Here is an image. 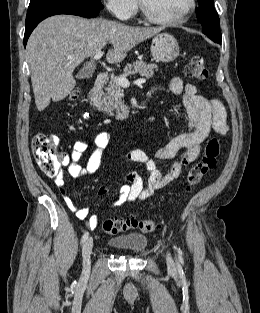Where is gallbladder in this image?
<instances>
[{"mask_svg":"<svg viewBox=\"0 0 260 313\" xmlns=\"http://www.w3.org/2000/svg\"><path fill=\"white\" fill-rule=\"evenodd\" d=\"M93 73V69H86L83 68L81 71L78 72V74L76 75V77L78 79H84V78H89Z\"/></svg>","mask_w":260,"mask_h":313,"instance_id":"gallbladder-1","label":"gallbladder"}]
</instances>
